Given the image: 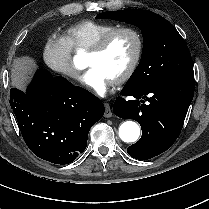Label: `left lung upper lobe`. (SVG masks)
Listing matches in <instances>:
<instances>
[{
  "label": "left lung upper lobe",
  "instance_id": "left-lung-upper-lobe-1",
  "mask_svg": "<svg viewBox=\"0 0 209 209\" xmlns=\"http://www.w3.org/2000/svg\"><path fill=\"white\" fill-rule=\"evenodd\" d=\"M96 18L133 24L142 30L144 47L128 85H148L193 71L190 51L176 28L162 16L141 9L107 11Z\"/></svg>",
  "mask_w": 209,
  "mask_h": 209
}]
</instances>
